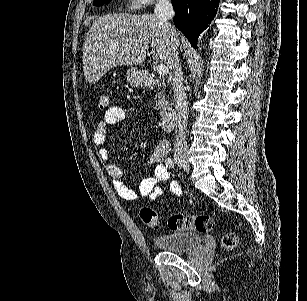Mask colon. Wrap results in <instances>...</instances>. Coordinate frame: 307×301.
<instances>
[{"label": "colon", "instance_id": "1", "mask_svg": "<svg viewBox=\"0 0 307 301\" xmlns=\"http://www.w3.org/2000/svg\"><path fill=\"white\" fill-rule=\"evenodd\" d=\"M110 106V98L107 93L101 92L97 99V111L106 112ZM142 222L151 228H158L161 224L160 216L156 210L150 207H143L140 210ZM168 227L172 231H197L200 233L209 232L214 228L213 219L206 214L186 215L181 213L173 214L168 219ZM238 244V236L229 232L222 237V245L226 250L235 248Z\"/></svg>", "mask_w": 307, "mask_h": 301}]
</instances>
